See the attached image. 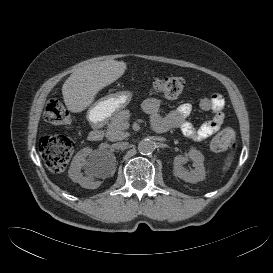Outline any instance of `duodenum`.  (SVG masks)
<instances>
[{
  "label": "duodenum",
  "mask_w": 273,
  "mask_h": 273,
  "mask_svg": "<svg viewBox=\"0 0 273 273\" xmlns=\"http://www.w3.org/2000/svg\"><path fill=\"white\" fill-rule=\"evenodd\" d=\"M152 126L155 129V131L162 133L165 132L168 127L162 119L158 118L152 121ZM103 129L100 122L95 123L93 129L91 130L89 134V139L91 142H99L103 138Z\"/></svg>",
  "instance_id": "410a0bca"
}]
</instances>
